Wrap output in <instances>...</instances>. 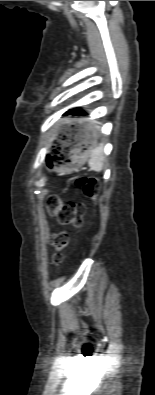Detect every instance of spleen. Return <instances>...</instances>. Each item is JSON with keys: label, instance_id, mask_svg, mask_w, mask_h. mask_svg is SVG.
Instances as JSON below:
<instances>
[{"label": "spleen", "instance_id": "1", "mask_svg": "<svg viewBox=\"0 0 155 395\" xmlns=\"http://www.w3.org/2000/svg\"><path fill=\"white\" fill-rule=\"evenodd\" d=\"M103 161V144H100L99 147L92 150L88 164L92 170L100 172L103 168Z\"/></svg>", "mask_w": 155, "mask_h": 395}]
</instances>
